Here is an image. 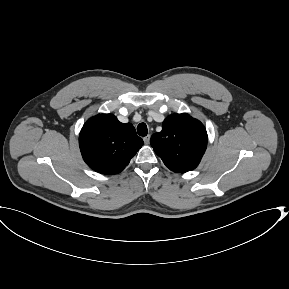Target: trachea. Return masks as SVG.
<instances>
[{
    "label": "trachea",
    "mask_w": 289,
    "mask_h": 289,
    "mask_svg": "<svg viewBox=\"0 0 289 289\" xmlns=\"http://www.w3.org/2000/svg\"><path fill=\"white\" fill-rule=\"evenodd\" d=\"M137 132H138V135H140V136H146L147 133H148V129H147L146 124L145 123H140L137 126Z\"/></svg>",
    "instance_id": "1"
}]
</instances>
